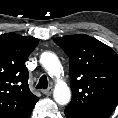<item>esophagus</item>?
<instances>
[{
	"instance_id": "obj_1",
	"label": "esophagus",
	"mask_w": 118,
	"mask_h": 118,
	"mask_svg": "<svg viewBox=\"0 0 118 118\" xmlns=\"http://www.w3.org/2000/svg\"><path fill=\"white\" fill-rule=\"evenodd\" d=\"M43 94L47 95V96H50L53 92V88L52 87H49L47 89H44L42 90Z\"/></svg>"
}]
</instances>
